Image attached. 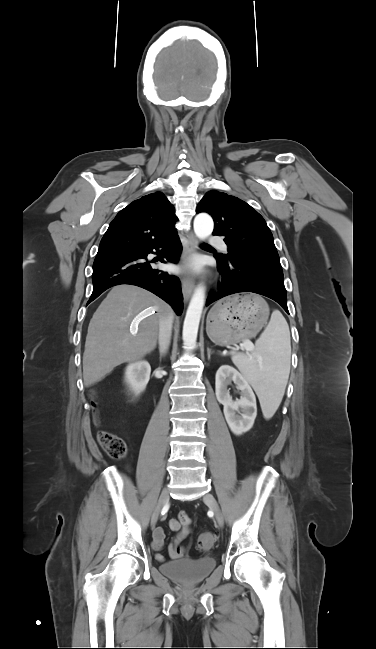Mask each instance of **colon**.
Wrapping results in <instances>:
<instances>
[{
    "mask_svg": "<svg viewBox=\"0 0 376 649\" xmlns=\"http://www.w3.org/2000/svg\"><path fill=\"white\" fill-rule=\"evenodd\" d=\"M98 442L107 453V455L115 460H120L127 455V445L125 441L112 433L101 431L97 436ZM215 542V535L210 532L200 534L198 538V548L202 551L209 550Z\"/></svg>",
    "mask_w": 376,
    "mask_h": 649,
    "instance_id": "5ec220e1",
    "label": "colon"
}]
</instances>
